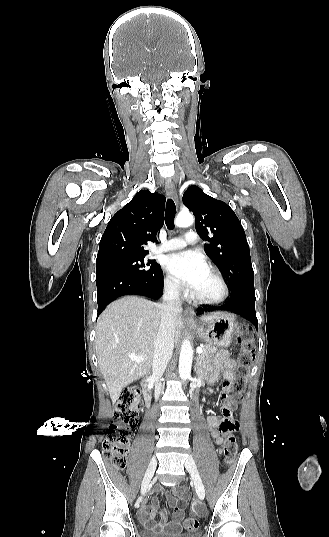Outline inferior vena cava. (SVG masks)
Listing matches in <instances>:
<instances>
[{"label": "inferior vena cava", "instance_id": "1", "mask_svg": "<svg viewBox=\"0 0 329 537\" xmlns=\"http://www.w3.org/2000/svg\"><path fill=\"white\" fill-rule=\"evenodd\" d=\"M180 287L171 285L165 289L163 305L161 307V321L154 343V357L152 363L153 377L155 378V399L158 400L164 385L159 379L162 377L173 353L175 324L178 314L182 311Z\"/></svg>", "mask_w": 329, "mask_h": 537}]
</instances>
